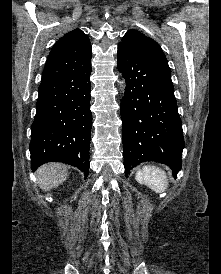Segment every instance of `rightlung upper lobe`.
<instances>
[{"instance_id":"cb5924a9","label":"right lung upper lobe","mask_w":221,"mask_h":274,"mask_svg":"<svg viewBox=\"0 0 221 274\" xmlns=\"http://www.w3.org/2000/svg\"><path fill=\"white\" fill-rule=\"evenodd\" d=\"M92 47L89 38L80 29L61 37L47 58L41 83L57 79L69 72L91 64Z\"/></svg>"}]
</instances>
